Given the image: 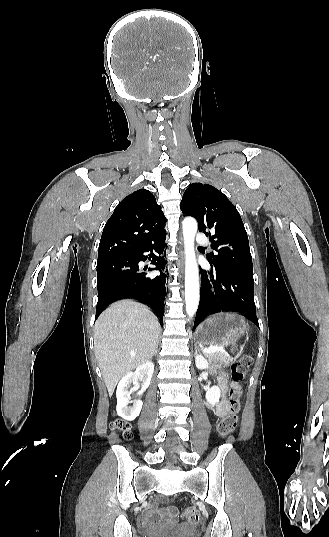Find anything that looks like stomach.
<instances>
[{"label": "stomach", "instance_id": "obj_1", "mask_svg": "<svg viewBox=\"0 0 329 537\" xmlns=\"http://www.w3.org/2000/svg\"><path fill=\"white\" fill-rule=\"evenodd\" d=\"M248 331L245 319L236 313L220 312L210 316L196 329L195 338L200 345H227Z\"/></svg>", "mask_w": 329, "mask_h": 537}]
</instances>
